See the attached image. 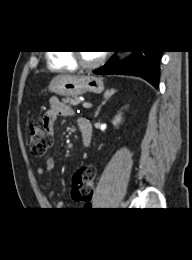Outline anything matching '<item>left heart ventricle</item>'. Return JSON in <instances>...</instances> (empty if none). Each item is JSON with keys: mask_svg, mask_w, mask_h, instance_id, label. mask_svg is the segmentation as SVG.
<instances>
[{"mask_svg": "<svg viewBox=\"0 0 192 260\" xmlns=\"http://www.w3.org/2000/svg\"><path fill=\"white\" fill-rule=\"evenodd\" d=\"M81 55L85 61L93 62L101 55V53L95 51H83L81 52Z\"/></svg>", "mask_w": 192, "mask_h": 260, "instance_id": "left-heart-ventricle-1", "label": "left heart ventricle"}]
</instances>
